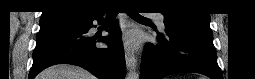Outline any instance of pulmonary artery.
Returning a JSON list of instances; mask_svg holds the SVG:
<instances>
[{
  "mask_svg": "<svg viewBox=\"0 0 255 79\" xmlns=\"http://www.w3.org/2000/svg\"><path fill=\"white\" fill-rule=\"evenodd\" d=\"M157 20H158L159 25H160L162 28H164V18H163V16H158V17H157Z\"/></svg>",
  "mask_w": 255,
  "mask_h": 79,
  "instance_id": "obj_1",
  "label": "pulmonary artery"
}]
</instances>
